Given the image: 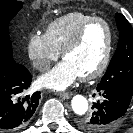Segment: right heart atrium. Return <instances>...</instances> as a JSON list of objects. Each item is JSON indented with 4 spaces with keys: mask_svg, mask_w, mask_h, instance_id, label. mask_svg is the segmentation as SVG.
<instances>
[{
    "mask_svg": "<svg viewBox=\"0 0 133 133\" xmlns=\"http://www.w3.org/2000/svg\"><path fill=\"white\" fill-rule=\"evenodd\" d=\"M27 50L33 67L39 71L47 70L60 54L46 35L41 33H34L29 37Z\"/></svg>",
    "mask_w": 133,
    "mask_h": 133,
    "instance_id": "right-heart-atrium-1",
    "label": "right heart atrium"
}]
</instances>
